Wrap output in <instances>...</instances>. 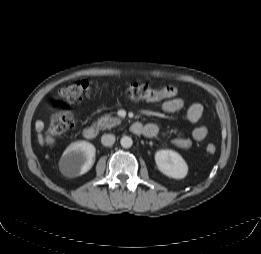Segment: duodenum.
Here are the masks:
<instances>
[{"label": "duodenum", "mask_w": 261, "mask_h": 254, "mask_svg": "<svg viewBox=\"0 0 261 254\" xmlns=\"http://www.w3.org/2000/svg\"><path fill=\"white\" fill-rule=\"evenodd\" d=\"M131 129L135 134H143V132H144L143 126L138 122L133 123L131 126ZM97 133H98L97 129L93 126H88L83 130V135L88 140L95 139L97 136Z\"/></svg>", "instance_id": "obj_1"}]
</instances>
